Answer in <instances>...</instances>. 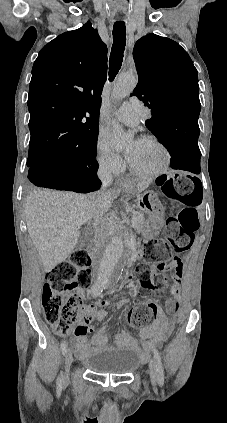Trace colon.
Wrapping results in <instances>:
<instances>
[{"label": "colon", "instance_id": "1", "mask_svg": "<svg viewBox=\"0 0 227 423\" xmlns=\"http://www.w3.org/2000/svg\"><path fill=\"white\" fill-rule=\"evenodd\" d=\"M169 200L179 207V213L166 222V234L173 251L188 250L199 228L197 207L201 202V186L190 176H165L157 181ZM143 257L148 264L136 268V274L147 295L164 289L170 281H180L183 264L170 257L166 244L155 240L145 243ZM90 257L84 250L74 251L67 261L56 265L47 274L42 292V307L46 322L58 333L76 332L83 319L85 306L80 291L91 280ZM159 309L154 302H141L128 313V322L135 327L150 325Z\"/></svg>", "mask_w": 227, "mask_h": 423}]
</instances>
